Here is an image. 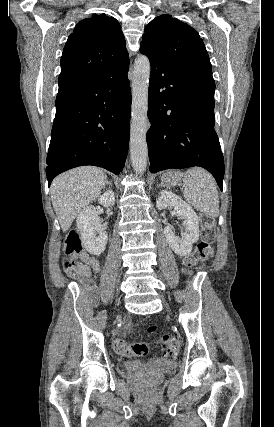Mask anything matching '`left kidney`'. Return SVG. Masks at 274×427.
<instances>
[{"label": "left kidney", "instance_id": "1", "mask_svg": "<svg viewBox=\"0 0 274 427\" xmlns=\"http://www.w3.org/2000/svg\"><path fill=\"white\" fill-rule=\"evenodd\" d=\"M157 210H165V208H174L176 215L184 219L185 231H182L181 237L175 235L171 225L164 227V235L166 241L177 253V255H189L192 251V243L199 239V219L198 215L192 210L189 204L183 202L179 196H175L172 192H160V196L156 202Z\"/></svg>", "mask_w": 274, "mask_h": 427}]
</instances>
